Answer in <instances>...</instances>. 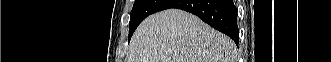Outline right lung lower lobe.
Segmentation results:
<instances>
[{"instance_id":"98d812e1","label":"right lung lower lobe","mask_w":331,"mask_h":62,"mask_svg":"<svg viewBox=\"0 0 331 62\" xmlns=\"http://www.w3.org/2000/svg\"><path fill=\"white\" fill-rule=\"evenodd\" d=\"M176 8L198 16L238 45L237 9L233 0H171L162 10Z\"/></svg>"}]
</instances>
